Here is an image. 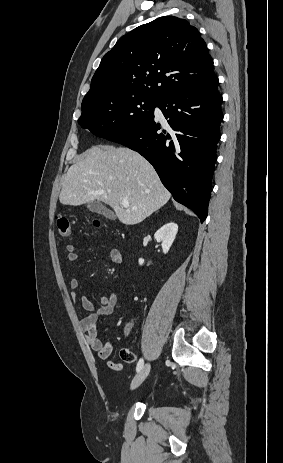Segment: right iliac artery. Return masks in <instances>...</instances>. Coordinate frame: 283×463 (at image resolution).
Wrapping results in <instances>:
<instances>
[{
	"label": "right iliac artery",
	"instance_id": "right-iliac-artery-1",
	"mask_svg": "<svg viewBox=\"0 0 283 463\" xmlns=\"http://www.w3.org/2000/svg\"><path fill=\"white\" fill-rule=\"evenodd\" d=\"M143 364H144V360L141 358L139 359L138 363H137V367H136V371H140L141 368L143 367Z\"/></svg>",
	"mask_w": 283,
	"mask_h": 463
}]
</instances>
